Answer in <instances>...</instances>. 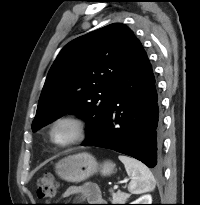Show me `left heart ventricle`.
Segmentation results:
<instances>
[{
	"instance_id": "b2bd125f",
	"label": "left heart ventricle",
	"mask_w": 200,
	"mask_h": 205,
	"mask_svg": "<svg viewBox=\"0 0 200 205\" xmlns=\"http://www.w3.org/2000/svg\"><path fill=\"white\" fill-rule=\"evenodd\" d=\"M71 133V128L67 125H63L56 130L55 138L58 141H64L70 137Z\"/></svg>"
}]
</instances>
